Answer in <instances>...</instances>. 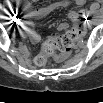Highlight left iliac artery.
I'll list each match as a JSON object with an SVG mask.
<instances>
[{"label":"left iliac artery","instance_id":"44dca946","mask_svg":"<svg viewBox=\"0 0 103 103\" xmlns=\"http://www.w3.org/2000/svg\"><path fill=\"white\" fill-rule=\"evenodd\" d=\"M87 18L88 20H92L93 19V15L90 11L87 12Z\"/></svg>","mask_w":103,"mask_h":103}]
</instances>
